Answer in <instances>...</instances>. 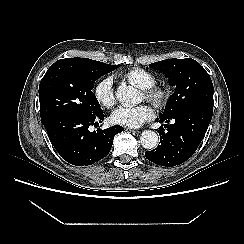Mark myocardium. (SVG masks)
<instances>
[{"mask_svg": "<svg viewBox=\"0 0 244 244\" xmlns=\"http://www.w3.org/2000/svg\"><path fill=\"white\" fill-rule=\"evenodd\" d=\"M145 98L153 103L156 107H162L168 98L167 91L162 87H151L145 89L144 91Z\"/></svg>", "mask_w": 244, "mask_h": 244, "instance_id": "myocardium-1", "label": "myocardium"}]
</instances>
